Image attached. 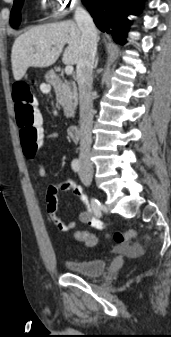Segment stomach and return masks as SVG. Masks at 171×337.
<instances>
[{"label":"stomach","instance_id":"1","mask_svg":"<svg viewBox=\"0 0 171 337\" xmlns=\"http://www.w3.org/2000/svg\"><path fill=\"white\" fill-rule=\"evenodd\" d=\"M45 78L47 81H50V76L48 74L45 76Z\"/></svg>","mask_w":171,"mask_h":337}]
</instances>
